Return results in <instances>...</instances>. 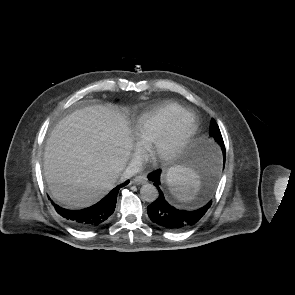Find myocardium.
Here are the masks:
<instances>
[{
  "mask_svg": "<svg viewBox=\"0 0 295 295\" xmlns=\"http://www.w3.org/2000/svg\"><path fill=\"white\" fill-rule=\"evenodd\" d=\"M195 117L184 111L154 140L149 155L154 162L175 160L187 147L196 132Z\"/></svg>",
  "mask_w": 295,
  "mask_h": 295,
  "instance_id": "f54148a6",
  "label": "myocardium"
}]
</instances>
